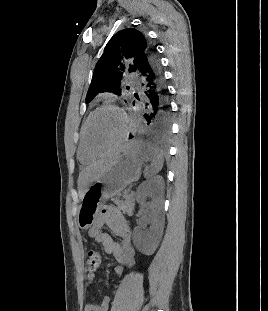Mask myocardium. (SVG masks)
<instances>
[{"label": "myocardium", "instance_id": "1", "mask_svg": "<svg viewBox=\"0 0 268 311\" xmlns=\"http://www.w3.org/2000/svg\"><path fill=\"white\" fill-rule=\"evenodd\" d=\"M104 109L114 110L120 115L122 122H123V129H122V133H121L120 137L118 138V140L115 142V144L111 148H109L108 150H106L104 152H96L88 144L87 129H88V125H89V122L92 119V117L95 114H97L99 111L104 110ZM128 133H129V120H128V117L125 114V112L121 108H119L118 106H116L114 104L104 103V104L96 107L92 112H90V114L85 119L83 126H82V142H83L84 148L86 149V151L91 156L103 157V156H106V155L110 154L111 152L115 151L118 147H120V145L126 140Z\"/></svg>", "mask_w": 268, "mask_h": 311}]
</instances>
